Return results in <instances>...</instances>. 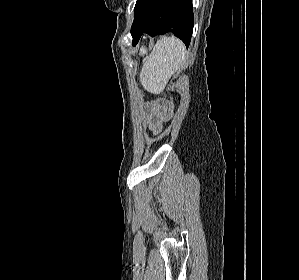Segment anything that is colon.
Returning <instances> with one entry per match:
<instances>
[{
	"label": "colon",
	"instance_id": "colon-1",
	"mask_svg": "<svg viewBox=\"0 0 299 280\" xmlns=\"http://www.w3.org/2000/svg\"><path fill=\"white\" fill-rule=\"evenodd\" d=\"M158 106L160 107V108H162L164 111H171L172 110V107H171V105L168 103V102H166V101H160L159 103H158Z\"/></svg>",
	"mask_w": 299,
	"mask_h": 280
}]
</instances>
